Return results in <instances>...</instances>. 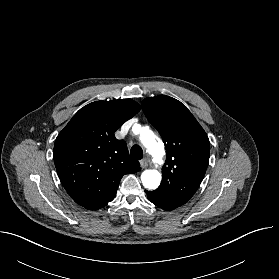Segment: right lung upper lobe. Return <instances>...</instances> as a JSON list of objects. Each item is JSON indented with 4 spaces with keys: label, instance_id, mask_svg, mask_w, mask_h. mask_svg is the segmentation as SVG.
I'll return each instance as SVG.
<instances>
[{
    "label": "right lung upper lobe",
    "instance_id": "right-lung-upper-lobe-1",
    "mask_svg": "<svg viewBox=\"0 0 279 279\" xmlns=\"http://www.w3.org/2000/svg\"><path fill=\"white\" fill-rule=\"evenodd\" d=\"M140 109L131 99L96 101L81 108L57 136L55 167L77 204L89 210L104 207L114 199L123 175L141 169L126 143L114 136Z\"/></svg>",
    "mask_w": 279,
    "mask_h": 279
}]
</instances>
